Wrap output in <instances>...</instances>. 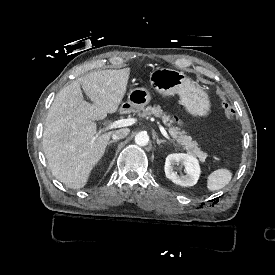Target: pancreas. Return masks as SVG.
<instances>
[{"mask_svg": "<svg viewBox=\"0 0 275 275\" xmlns=\"http://www.w3.org/2000/svg\"><path fill=\"white\" fill-rule=\"evenodd\" d=\"M152 115L163 119V123L167 126L170 135L187 150H190L191 155L197 157L201 162L205 161L207 154L199 150L197 142L187 135L188 132L175 124L169 112H163L161 105L147 106L145 111L140 114V119L149 118Z\"/></svg>", "mask_w": 275, "mask_h": 275, "instance_id": "pancreas-1", "label": "pancreas"}]
</instances>
